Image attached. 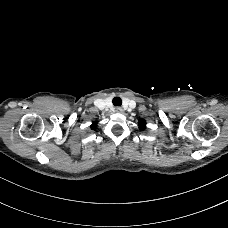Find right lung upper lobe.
I'll use <instances>...</instances> for the list:
<instances>
[{"label": "right lung upper lobe", "instance_id": "1", "mask_svg": "<svg viewBox=\"0 0 228 228\" xmlns=\"http://www.w3.org/2000/svg\"><path fill=\"white\" fill-rule=\"evenodd\" d=\"M96 127H97V121L91 125V129H95Z\"/></svg>", "mask_w": 228, "mask_h": 228}]
</instances>
